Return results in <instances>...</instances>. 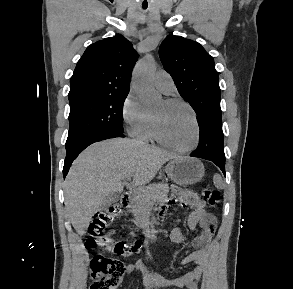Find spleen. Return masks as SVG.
<instances>
[{
  "mask_svg": "<svg viewBox=\"0 0 293 289\" xmlns=\"http://www.w3.org/2000/svg\"><path fill=\"white\" fill-rule=\"evenodd\" d=\"M213 182L216 188L222 189L224 184L221 176L219 174H215L213 177Z\"/></svg>",
  "mask_w": 293,
  "mask_h": 289,
  "instance_id": "1",
  "label": "spleen"
}]
</instances>
